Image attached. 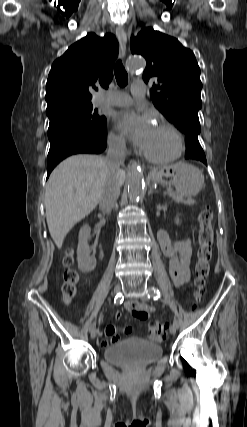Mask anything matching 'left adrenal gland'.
<instances>
[{
    "instance_id": "left-adrenal-gland-1",
    "label": "left adrenal gland",
    "mask_w": 247,
    "mask_h": 427,
    "mask_svg": "<svg viewBox=\"0 0 247 427\" xmlns=\"http://www.w3.org/2000/svg\"><path fill=\"white\" fill-rule=\"evenodd\" d=\"M153 193H155V191L153 190V188H152V187H150V190H149V192H148V195H151V194H153Z\"/></svg>"
}]
</instances>
